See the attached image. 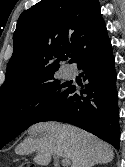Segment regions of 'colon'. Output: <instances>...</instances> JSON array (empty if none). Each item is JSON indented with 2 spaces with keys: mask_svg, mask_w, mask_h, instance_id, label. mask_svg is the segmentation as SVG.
<instances>
[{
  "mask_svg": "<svg viewBox=\"0 0 125 167\" xmlns=\"http://www.w3.org/2000/svg\"><path fill=\"white\" fill-rule=\"evenodd\" d=\"M17 167H35L32 162L29 161H21Z\"/></svg>",
  "mask_w": 125,
  "mask_h": 167,
  "instance_id": "obj_1",
  "label": "colon"
}]
</instances>
